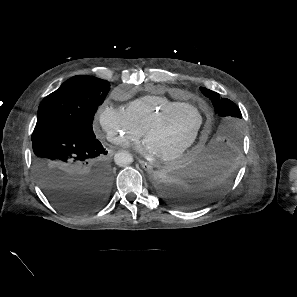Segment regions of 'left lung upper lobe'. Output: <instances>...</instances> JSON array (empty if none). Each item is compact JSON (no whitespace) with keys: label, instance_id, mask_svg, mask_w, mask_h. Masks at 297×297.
<instances>
[{"label":"left lung upper lobe","instance_id":"left-lung-upper-lobe-1","mask_svg":"<svg viewBox=\"0 0 297 297\" xmlns=\"http://www.w3.org/2000/svg\"><path fill=\"white\" fill-rule=\"evenodd\" d=\"M201 92L208 97L219 116L218 124L209 138V142L219 144L229 151L240 149L242 128L241 111L237 105L229 99L222 98L218 93L200 87Z\"/></svg>","mask_w":297,"mask_h":297}]
</instances>
